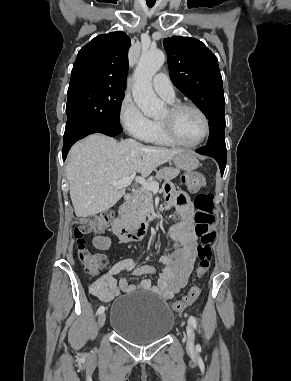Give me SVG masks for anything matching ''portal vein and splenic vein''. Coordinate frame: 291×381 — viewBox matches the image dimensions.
Wrapping results in <instances>:
<instances>
[{"label":"portal vein and splenic vein","mask_w":291,"mask_h":381,"mask_svg":"<svg viewBox=\"0 0 291 381\" xmlns=\"http://www.w3.org/2000/svg\"><path fill=\"white\" fill-rule=\"evenodd\" d=\"M136 173L133 172L130 176L124 177L120 180H113L111 181V184L117 188H124L131 185L132 181L135 179L137 183L142 185L143 188L151 190L153 192H157L159 190V183L158 182H149L146 181L142 177L135 178Z\"/></svg>","instance_id":"18ae733b"}]
</instances>
